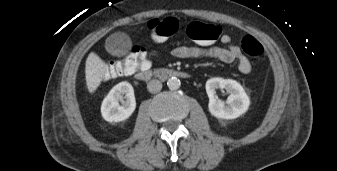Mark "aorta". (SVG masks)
<instances>
[{
    "instance_id": "1",
    "label": "aorta",
    "mask_w": 337,
    "mask_h": 171,
    "mask_svg": "<svg viewBox=\"0 0 337 171\" xmlns=\"http://www.w3.org/2000/svg\"><path fill=\"white\" fill-rule=\"evenodd\" d=\"M181 82L177 77H171L167 81V86L170 90H177L180 88Z\"/></svg>"
}]
</instances>
